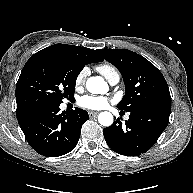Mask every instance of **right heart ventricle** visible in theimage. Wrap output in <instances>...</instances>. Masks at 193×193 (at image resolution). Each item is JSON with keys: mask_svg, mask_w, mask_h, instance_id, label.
<instances>
[{"mask_svg": "<svg viewBox=\"0 0 193 193\" xmlns=\"http://www.w3.org/2000/svg\"><path fill=\"white\" fill-rule=\"evenodd\" d=\"M97 71L102 74L108 81L115 75H119L117 69L111 64H100L96 67Z\"/></svg>", "mask_w": 193, "mask_h": 193, "instance_id": "obj_1", "label": "right heart ventricle"}]
</instances>
